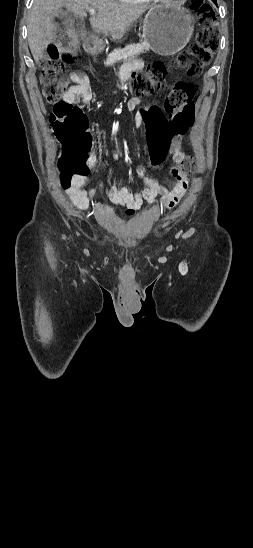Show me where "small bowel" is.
Segmentation results:
<instances>
[{"label":"small bowel","mask_w":253,"mask_h":548,"mask_svg":"<svg viewBox=\"0 0 253 548\" xmlns=\"http://www.w3.org/2000/svg\"><path fill=\"white\" fill-rule=\"evenodd\" d=\"M140 66V63L137 61L125 63L119 72L120 81L123 82L128 79ZM70 78L72 85L64 95V100L71 104H79L81 107L90 103L92 101V93L87 75L81 71H76L71 74ZM127 107L130 110L139 109V112L147 111V107L141 105L138 97L131 98L127 103ZM181 143L182 137H172L166 141V149L172 156L175 166L183 156ZM89 165L90 167L97 165L95 156L90 158ZM175 166L171 169V174L174 177V182L171 185H164L156 177H149L145 166H138L136 173L142 179L145 187L138 192L130 187L113 183L109 189L110 203L113 205H125L130 210L140 209L144 203L158 204L165 209L175 207L185 195L189 184L187 175L176 171ZM86 179V175L76 176L69 185H62L69 199L80 210H87L96 194V189L86 190L84 188ZM157 196H160V198L157 199ZM128 213H131V211H128Z\"/></svg>","instance_id":"1"}]
</instances>
